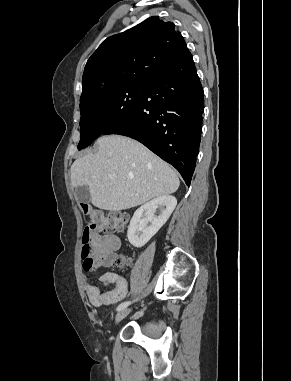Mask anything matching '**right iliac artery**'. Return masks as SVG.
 Segmentation results:
<instances>
[{"label":"right iliac artery","mask_w":291,"mask_h":381,"mask_svg":"<svg viewBox=\"0 0 291 381\" xmlns=\"http://www.w3.org/2000/svg\"><path fill=\"white\" fill-rule=\"evenodd\" d=\"M130 304H131V301H126V302L121 303V304L117 307V311H120V310L126 308V307H127L128 305H130Z\"/></svg>","instance_id":"right-iliac-artery-1"}]
</instances>
